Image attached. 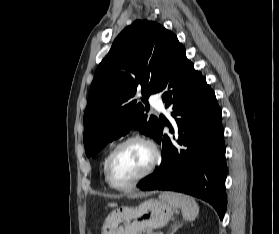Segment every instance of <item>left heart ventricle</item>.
<instances>
[{"label":"left heart ventricle","mask_w":279,"mask_h":234,"mask_svg":"<svg viewBox=\"0 0 279 234\" xmlns=\"http://www.w3.org/2000/svg\"><path fill=\"white\" fill-rule=\"evenodd\" d=\"M150 149L140 143L131 142L122 147L111 164V177L117 184H124L139 176L150 164Z\"/></svg>","instance_id":"left-heart-ventricle-1"}]
</instances>
